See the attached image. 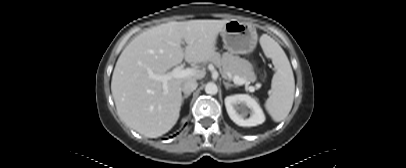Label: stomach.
<instances>
[{
  "mask_svg": "<svg viewBox=\"0 0 406 168\" xmlns=\"http://www.w3.org/2000/svg\"><path fill=\"white\" fill-rule=\"evenodd\" d=\"M225 47L231 54H248L257 44L256 29L247 22L229 20L221 31Z\"/></svg>",
  "mask_w": 406,
  "mask_h": 168,
  "instance_id": "0dacf381",
  "label": "stomach"
}]
</instances>
